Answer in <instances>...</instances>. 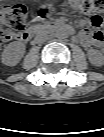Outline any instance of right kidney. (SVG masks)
<instances>
[{
  "instance_id": "right-kidney-1",
  "label": "right kidney",
  "mask_w": 104,
  "mask_h": 137,
  "mask_svg": "<svg viewBox=\"0 0 104 137\" xmlns=\"http://www.w3.org/2000/svg\"><path fill=\"white\" fill-rule=\"evenodd\" d=\"M25 53V45L22 42L14 41L9 43L1 54V62L8 66H15L19 63Z\"/></svg>"
}]
</instances>
